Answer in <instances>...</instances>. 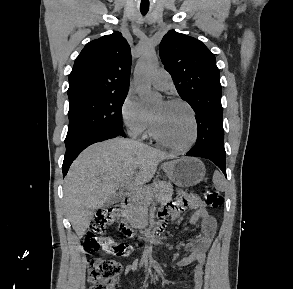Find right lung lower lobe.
I'll use <instances>...</instances> for the list:
<instances>
[{
  "mask_svg": "<svg viewBox=\"0 0 293 289\" xmlns=\"http://www.w3.org/2000/svg\"><path fill=\"white\" fill-rule=\"evenodd\" d=\"M117 136L126 137L122 127H105L97 130H93L79 137L72 139L65 143L66 153L63 161L62 171L63 176L68 172L73 160L88 146L93 143L101 142Z\"/></svg>",
  "mask_w": 293,
  "mask_h": 289,
  "instance_id": "1",
  "label": "right lung lower lobe"
}]
</instances>
